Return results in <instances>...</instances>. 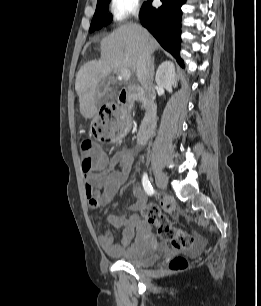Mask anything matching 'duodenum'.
<instances>
[{
	"mask_svg": "<svg viewBox=\"0 0 261 306\" xmlns=\"http://www.w3.org/2000/svg\"><path fill=\"white\" fill-rule=\"evenodd\" d=\"M118 101L120 105L126 107L130 106L135 101L143 102L145 113L138 132V143L143 144L156 125V104L146 96L141 88L135 86H128L122 89L118 95Z\"/></svg>",
	"mask_w": 261,
	"mask_h": 306,
	"instance_id": "1",
	"label": "duodenum"
}]
</instances>
